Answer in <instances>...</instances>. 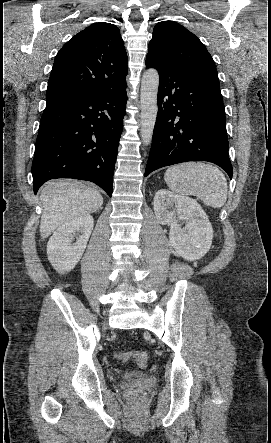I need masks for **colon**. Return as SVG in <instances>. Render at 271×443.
<instances>
[{
    "mask_svg": "<svg viewBox=\"0 0 271 443\" xmlns=\"http://www.w3.org/2000/svg\"><path fill=\"white\" fill-rule=\"evenodd\" d=\"M116 358L122 362H126L129 359H134L139 367H146L149 361L148 355L145 352H127V353H117Z\"/></svg>",
    "mask_w": 271,
    "mask_h": 443,
    "instance_id": "5ec220e1",
    "label": "colon"
}]
</instances>
